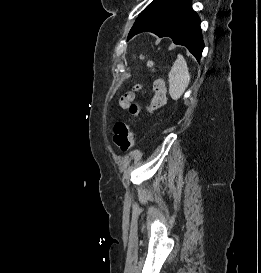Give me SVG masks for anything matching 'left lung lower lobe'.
Segmentation results:
<instances>
[{"instance_id": "left-lung-lower-lobe-1", "label": "left lung lower lobe", "mask_w": 261, "mask_h": 273, "mask_svg": "<svg viewBox=\"0 0 261 273\" xmlns=\"http://www.w3.org/2000/svg\"><path fill=\"white\" fill-rule=\"evenodd\" d=\"M143 31L170 37L175 44L187 47L200 61L204 43L200 19L191 7V0H165L152 7L135 21L128 40Z\"/></svg>"}]
</instances>
